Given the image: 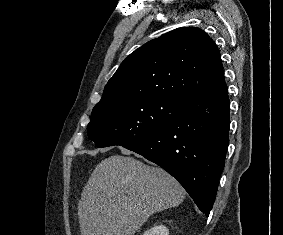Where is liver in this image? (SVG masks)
<instances>
[{
	"label": "liver",
	"instance_id": "obj_1",
	"mask_svg": "<svg viewBox=\"0 0 283 235\" xmlns=\"http://www.w3.org/2000/svg\"><path fill=\"white\" fill-rule=\"evenodd\" d=\"M122 154L102 160L85 185L81 235H134L152 214L183 202L184 189L166 171Z\"/></svg>",
	"mask_w": 283,
	"mask_h": 235
}]
</instances>
